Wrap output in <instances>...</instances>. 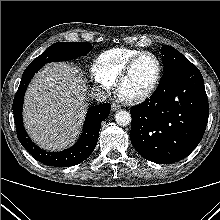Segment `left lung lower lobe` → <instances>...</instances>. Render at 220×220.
<instances>
[{"mask_svg": "<svg viewBox=\"0 0 220 220\" xmlns=\"http://www.w3.org/2000/svg\"><path fill=\"white\" fill-rule=\"evenodd\" d=\"M131 143L145 159L178 162L201 141L209 114L204 81L189 63L168 69L155 92L131 107Z\"/></svg>", "mask_w": 220, "mask_h": 220, "instance_id": "1", "label": "left lung lower lobe"}]
</instances>
